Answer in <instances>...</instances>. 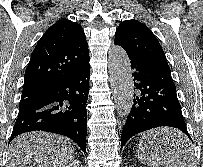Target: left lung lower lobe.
I'll return each mask as SVG.
<instances>
[{"mask_svg": "<svg viewBox=\"0 0 203 167\" xmlns=\"http://www.w3.org/2000/svg\"><path fill=\"white\" fill-rule=\"evenodd\" d=\"M129 56L134 77L133 105L121 135V148L134 135L151 128L169 126L180 129L192 141L183 119L171 72L159 69L134 56ZM186 146L172 149L183 153ZM190 148V147H189Z\"/></svg>", "mask_w": 203, "mask_h": 167, "instance_id": "1", "label": "left lung lower lobe"}]
</instances>
